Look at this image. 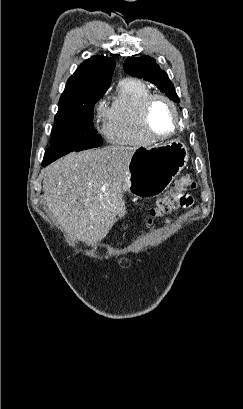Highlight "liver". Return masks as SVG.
<instances>
[{
	"instance_id": "obj_1",
	"label": "liver",
	"mask_w": 243,
	"mask_h": 409,
	"mask_svg": "<svg viewBox=\"0 0 243 409\" xmlns=\"http://www.w3.org/2000/svg\"><path fill=\"white\" fill-rule=\"evenodd\" d=\"M137 148L108 146L71 153L41 171L45 205L79 241L103 239L126 212L122 185Z\"/></svg>"
}]
</instances>
